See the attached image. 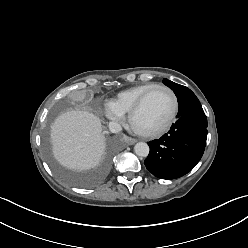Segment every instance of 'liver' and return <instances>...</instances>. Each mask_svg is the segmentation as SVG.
<instances>
[{
  "mask_svg": "<svg viewBox=\"0 0 248 248\" xmlns=\"http://www.w3.org/2000/svg\"><path fill=\"white\" fill-rule=\"evenodd\" d=\"M51 142L57 161L77 171L98 166L106 148L100 119L81 110L68 111L55 120Z\"/></svg>",
  "mask_w": 248,
  "mask_h": 248,
  "instance_id": "liver-1",
  "label": "liver"
}]
</instances>
